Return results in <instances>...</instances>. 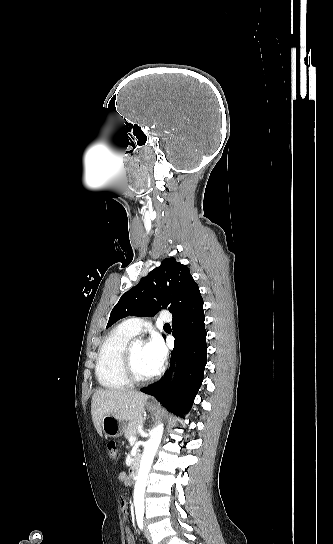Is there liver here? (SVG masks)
<instances>
[{
  "instance_id": "liver-1",
  "label": "liver",
  "mask_w": 333,
  "mask_h": 544,
  "mask_svg": "<svg viewBox=\"0 0 333 544\" xmlns=\"http://www.w3.org/2000/svg\"><path fill=\"white\" fill-rule=\"evenodd\" d=\"M147 399L146 394L135 390H96L92 396L91 415L98 434L102 433L101 422L106 415L131 422L141 418Z\"/></svg>"
}]
</instances>
